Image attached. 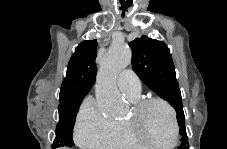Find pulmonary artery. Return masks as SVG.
I'll list each match as a JSON object with an SVG mask.
<instances>
[{
	"label": "pulmonary artery",
	"instance_id": "e3ab8cb5",
	"mask_svg": "<svg viewBox=\"0 0 227 149\" xmlns=\"http://www.w3.org/2000/svg\"><path fill=\"white\" fill-rule=\"evenodd\" d=\"M117 84L121 92L127 97L139 96L141 82L132 70H123L117 77Z\"/></svg>",
	"mask_w": 227,
	"mask_h": 149
}]
</instances>
